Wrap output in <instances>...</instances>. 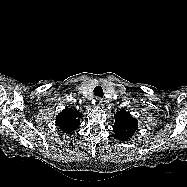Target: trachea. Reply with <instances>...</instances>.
Here are the masks:
<instances>
[{
	"label": "trachea",
	"mask_w": 187,
	"mask_h": 187,
	"mask_svg": "<svg viewBox=\"0 0 187 187\" xmlns=\"http://www.w3.org/2000/svg\"><path fill=\"white\" fill-rule=\"evenodd\" d=\"M94 95L99 97V98H103V89L101 86H96L94 88Z\"/></svg>",
	"instance_id": "3493384b"
}]
</instances>
